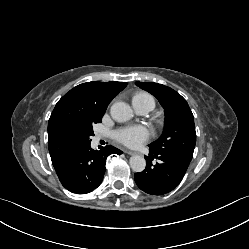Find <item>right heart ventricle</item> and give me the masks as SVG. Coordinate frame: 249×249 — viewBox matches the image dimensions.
I'll use <instances>...</instances> for the list:
<instances>
[{
	"mask_svg": "<svg viewBox=\"0 0 249 249\" xmlns=\"http://www.w3.org/2000/svg\"><path fill=\"white\" fill-rule=\"evenodd\" d=\"M147 100H151L154 102V99L150 95H148L146 93H138V94L134 95V97L132 99V103L133 104H140V103H143Z\"/></svg>",
	"mask_w": 249,
	"mask_h": 249,
	"instance_id": "e07e8e85",
	"label": "right heart ventricle"
}]
</instances>
